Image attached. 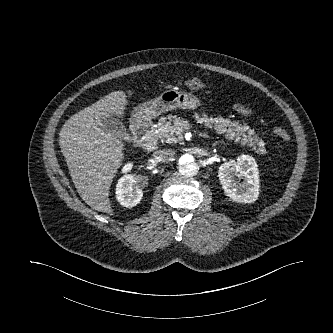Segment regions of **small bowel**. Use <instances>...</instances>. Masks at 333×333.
Here are the masks:
<instances>
[{
    "label": "small bowel",
    "instance_id": "c3829d8e",
    "mask_svg": "<svg viewBox=\"0 0 333 333\" xmlns=\"http://www.w3.org/2000/svg\"><path fill=\"white\" fill-rule=\"evenodd\" d=\"M234 109L236 112H238L241 115H247L250 112L249 108L243 105H235Z\"/></svg>",
    "mask_w": 333,
    "mask_h": 333
}]
</instances>
